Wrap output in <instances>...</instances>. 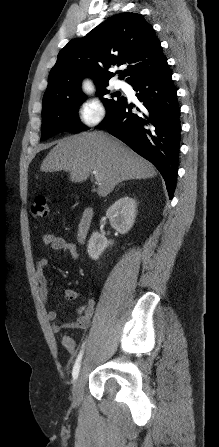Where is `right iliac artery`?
Returning <instances> with one entry per match:
<instances>
[{
  "label": "right iliac artery",
  "mask_w": 219,
  "mask_h": 447,
  "mask_svg": "<svg viewBox=\"0 0 219 447\" xmlns=\"http://www.w3.org/2000/svg\"><path fill=\"white\" fill-rule=\"evenodd\" d=\"M82 355H83V349L80 351V353L76 359V362L74 364V367H73L72 376H73L74 380L78 377V374H79Z\"/></svg>",
  "instance_id": "82829eb1"
}]
</instances>
